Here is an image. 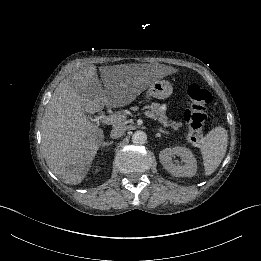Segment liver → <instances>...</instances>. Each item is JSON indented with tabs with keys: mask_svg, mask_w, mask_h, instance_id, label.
I'll use <instances>...</instances> for the list:
<instances>
[{
	"mask_svg": "<svg viewBox=\"0 0 261 261\" xmlns=\"http://www.w3.org/2000/svg\"><path fill=\"white\" fill-rule=\"evenodd\" d=\"M100 71L105 89L96 68L82 66L58 85L41 120V153L50 170L66 184L81 183L104 140L103 130L85 113L129 105L151 82L165 75L157 67L136 65Z\"/></svg>",
	"mask_w": 261,
	"mask_h": 261,
	"instance_id": "liver-1",
	"label": "liver"
}]
</instances>
